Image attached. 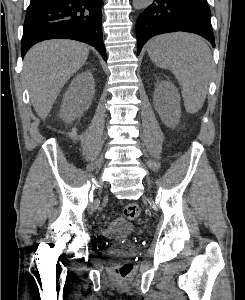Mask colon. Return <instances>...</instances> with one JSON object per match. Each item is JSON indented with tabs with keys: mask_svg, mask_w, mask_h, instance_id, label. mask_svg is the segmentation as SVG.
<instances>
[{
	"mask_svg": "<svg viewBox=\"0 0 245 300\" xmlns=\"http://www.w3.org/2000/svg\"><path fill=\"white\" fill-rule=\"evenodd\" d=\"M140 213H141V208L139 204L134 202L127 204L123 210L124 217L129 220L138 218ZM132 269H133L132 263L126 261L117 265L115 271L120 277L126 278L130 275Z\"/></svg>",
	"mask_w": 245,
	"mask_h": 300,
	"instance_id": "colon-1",
	"label": "colon"
}]
</instances>
